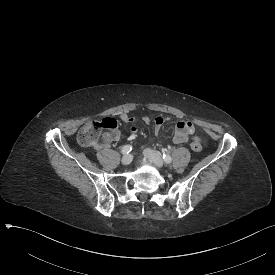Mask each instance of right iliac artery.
Wrapping results in <instances>:
<instances>
[{
  "mask_svg": "<svg viewBox=\"0 0 275 275\" xmlns=\"http://www.w3.org/2000/svg\"><path fill=\"white\" fill-rule=\"evenodd\" d=\"M132 150V146L131 145H124L122 147V154L126 155V154H129Z\"/></svg>",
  "mask_w": 275,
  "mask_h": 275,
  "instance_id": "82829eb1",
  "label": "right iliac artery"
}]
</instances>
